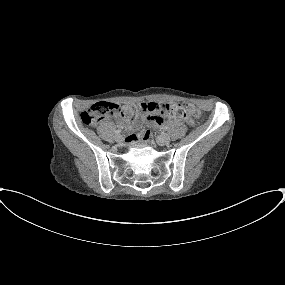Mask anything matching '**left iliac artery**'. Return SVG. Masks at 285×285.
<instances>
[{
    "instance_id": "left-iliac-artery-1",
    "label": "left iliac artery",
    "mask_w": 285,
    "mask_h": 285,
    "mask_svg": "<svg viewBox=\"0 0 285 285\" xmlns=\"http://www.w3.org/2000/svg\"><path fill=\"white\" fill-rule=\"evenodd\" d=\"M163 129L166 131V130L168 129V127H167V126H165Z\"/></svg>"
}]
</instances>
